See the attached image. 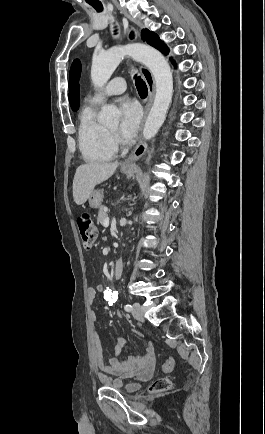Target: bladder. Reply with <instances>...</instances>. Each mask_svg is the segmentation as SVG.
I'll return each mask as SVG.
<instances>
[{
  "instance_id": "1",
  "label": "bladder",
  "mask_w": 265,
  "mask_h": 434,
  "mask_svg": "<svg viewBox=\"0 0 265 434\" xmlns=\"http://www.w3.org/2000/svg\"><path fill=\"white\" fill-rule=\"evenodd\" d=\"M140 388V384L136 382L128 383L123 387L125 393L131 394L136 392Z\"/></svg>"
}]
</instances>
